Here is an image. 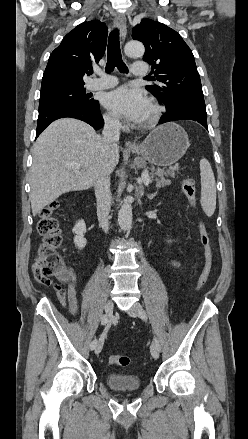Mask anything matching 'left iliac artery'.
I'll use <instances>...</instances> for the list:
<instances>
[{"instance_id":"1","label":"left iliac artery","mask_w":248,"mask_h":439,"mask_svg":"<svg viewBox=\"0 0 248 439\" xmlns=\"http://www.w3.org/2000/svg\"><path fill=\"white\" fill-rule=\"evenodd\" d=\"M156 343H157V345L159 346V349H160V345H159V343H158V341L156 340Z\"/></svg>"}]
</instances>
